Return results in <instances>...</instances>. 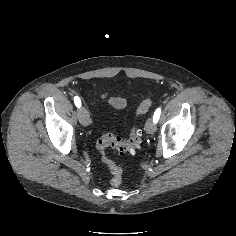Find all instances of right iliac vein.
<instances>
[{
	"label": "right iliac vein",
	"mask_w": 236,
	"mask_h": 236,
	"mask_svg": "<svg viewBox=\"0 0 236 236\" xmlns=\"http://www.w3.org/2000/svg\"><path fill=\"white\" fill-rule=\"evenodd\" d=\"M79 121L83 126H88L90 124V116L88 111L82 107L78 112Z\"/></svg>",
	"instance_id": "obj_1"
}]
</instances>
